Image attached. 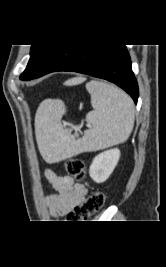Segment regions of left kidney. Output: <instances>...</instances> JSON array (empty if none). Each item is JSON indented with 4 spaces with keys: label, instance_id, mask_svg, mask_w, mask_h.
<instances>
[{
    "label": "left kidney",
    "instance_id": "5707ae66",
    "mask_svg": "<svg viewBox=\"0 0 166 267\" xmlns=\"http://www.w3.org/2000/svg\"><path fill=\"white\" fill-rule=\"evenodd\" d=\"M120 158V150L118 148L104 151L92 161L89 169L90 177L97 183L106 181L112 174Z\"/></svg>",
    "mask_w": 166,
    "mask_h": 267
}]
</instances>
